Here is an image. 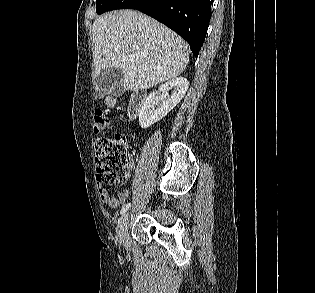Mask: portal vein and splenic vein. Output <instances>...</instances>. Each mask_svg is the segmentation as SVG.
<instances>
[{
  "label": "portal vein and splenic vein",
  "mask_w": 315,
  "mask_h": 293,
  "mask_svg": "<svg viewBox=\"0 0 315 293\" xmlns=\"http://www.w3.org/2000/svg\"><path fill=\"white\" fill-rule=\"evenodd\" d=\"M130 61H131V62H134V58L132 57V58L130 59Z\"/></svg>",
  "instance_id": "portal-vein-and-splenic-vein-1"
}]
</instances>
